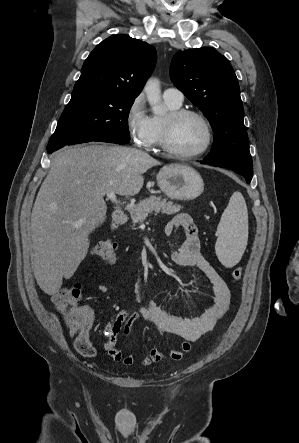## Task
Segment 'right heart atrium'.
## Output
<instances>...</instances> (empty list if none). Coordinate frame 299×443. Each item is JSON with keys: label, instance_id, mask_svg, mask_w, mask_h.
<instances>
[{"label": "right heart atrium", "instance_id": "d8ad5b80", "mask_svg": "<svg viewBox=\"0 0 299 443\" xmlns=\"http://www.w3.org/2000/svg\"><path fill=\"white\" fill-rule=\"evenodd\" d=\"M125 126L129 138L137 147L146 148L152 137V122L143 94L132 99L125 112Z\"/></svg>", "mask_w": 299, "mask_h": 443}]
</instances>
